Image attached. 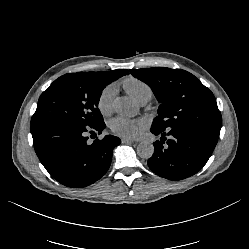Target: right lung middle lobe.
Instances as JSON below:
<instances>
[{
    "label": "right lung middle lobe",
    "mask_w": 249,
    "mask_h": 249,
    "mask_svg": "<svg viewBox=\"0 0 249 249\" xmlns=\"http://www.w3.org/2000/svg\"><path fill=\"white\" fill-rule=\"evenodd\" d=\"M126 75L125 69L68 73L55 80L40 96L31 124L68 122L95 126L103 122L97 108L107 84Z\"/></svg>",
    "instance_id": "right-lung-middle-lobe-1"
}]
</instances>
